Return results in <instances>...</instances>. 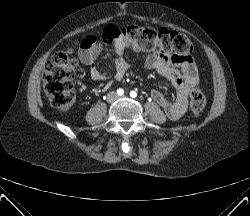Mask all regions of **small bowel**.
<instances>
[{
	"label": "small bowel",
	"mask_w": 250,
	"mask_h": 216,
	"mask_svg": "<svg viewBox=\"0 0 250 216\" xmlns=\"http://www.w3.org/2000/svg\"><path fill=\"white\" fill-rule=\"evenodd\" d=\"M95 38L94 36H88L84 39L90 41V43L80 47L79 56L81 61L90 67L92 80L105 82L107 77L95 65L102 51L101 44L93 43ZM114 49L117 57L114 62L115 74L112 81L118 82L124 77L129 67L124 59V53L127 49L138 52L139 48L131 46L124 40H118L114 44ZM145 68L156 71L168 79L174 86L176 91V99L174 101L169 100L158 90H153L151 96L163 108L170 119H180L188 108L190 92L199 87L196 65L191 57L153 53L146 58Z\"/></svg>",
	"instance_id": "obj_1"
}]
</instances>
